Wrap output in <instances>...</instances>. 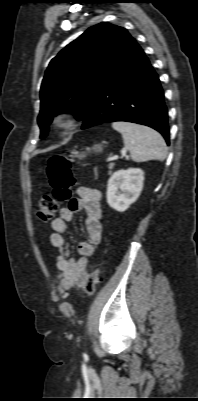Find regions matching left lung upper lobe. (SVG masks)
Here are the masks:
<instances>
[{
	"label": "left lung upper lobe",
	"mask_w": 198,
	"mask_h": 401,
	"mask_svg": "<svg viewBox=\"0 0 198 401\" xmlns=\"http://www.w3.org/2000/svg\"><path fill=\"white\" fill-rule=\"evenodd\" d=\"M136 45L122 27L100 23L90 27L53 58L42 81L38 124L48 134L52 117L75 111L82 120L94 99Z\"/></svg>",
	"instance_id": "left-lung-upper-lobe-1"
}]
</instances>
